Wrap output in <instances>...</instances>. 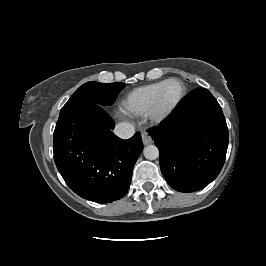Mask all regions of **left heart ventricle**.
I'll return each mask as SVG.
<instances>
[{
  "label": "left heart ventricle",
  "instance_id": "1",
  "mask_svg": "<svg viewBox=\"0 0 266 266\" xmlns=\"http://www.w3.org/2000/svg\"><path fill=\"white\" fill-rule=\"evenodd\" d=\"M181 92V87L178 83L173 82L169 84L163 92L161 97V106L163 109H168L171 107L177 98L179 97Z\"/></svg>",
  "mask_w": 266,
  "mask_h": 266
}]
</instances>
